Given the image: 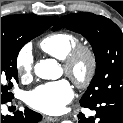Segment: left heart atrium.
Instances as JSON below:
<instances>
[{
    "label": "left heart atrium",
    "instance_id": "left-heart-atrium-1",
    "mask_svg": "<svg viewBox=\"0 0 123 123\" xmlns=\"http://www.w3.org/2000/svg\"><path fill=\"white\" fill-rule=\"evenodd\" d=\"M73 96L71 84L62 79L37 86L27 93L26 103L40 112L55 114L63 111Z\"/></svg>",
    "mask_w": 123,
    "mask_h": 123
}]
</instances>
